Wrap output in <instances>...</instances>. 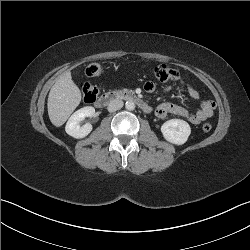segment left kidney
I'll list each match as a JSON object with an SVG mask.
<instances>
[{"label":"left kidney","mask_w":250,"mask_h":250,"mask_svg":"<svg viewBox=\"0 0 250 250\" xmlns=\"http://www.w3.org/2000/svg\"><path fill=\"white\" fill-rule=\"evenodd\" d=\"M163 137L170 143L182 145L191 133L189 124L181 119H171L161 126Z\"/></svg>","instance_id":"1"}]
</instances>
